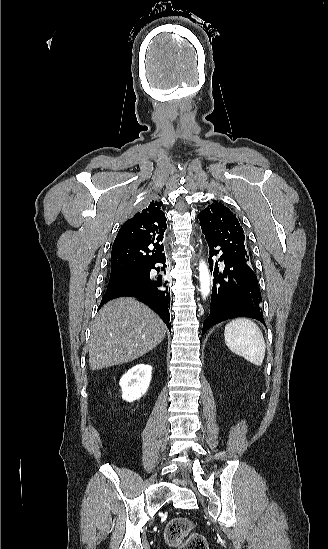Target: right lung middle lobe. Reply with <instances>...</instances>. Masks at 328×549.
<instances>
[{
	"label": "right lung middle lobe",
	"mask_w": 328,
	"mask_h": 549,
	"mask_svg": "<svg viewBox=\"0 0 328 549\" xmlns=\"http://www.w3.org/2000/svg\"><path fill=\"white\" fill-rule=\"evenodd\" d=\"M146 273L147 270H137L110 275V281L108 283L107 290L128 282L141 280L145 277Z\"/></svg>",
	"instance_id": "1"
}]
</instances>
